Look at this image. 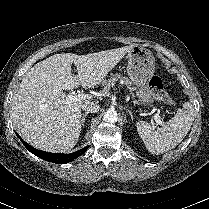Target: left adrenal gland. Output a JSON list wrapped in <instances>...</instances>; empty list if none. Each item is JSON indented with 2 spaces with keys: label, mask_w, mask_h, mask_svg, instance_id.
Wrapping results in <instances>:
<instances>
[{
  "label": "left adrenal gland",
  "mask_w": 209,
  "mask_h": 209,
  "mask_svg": "<svg viewBox=\"0 0 209 209\" xmlns=\"http://www.w3.org/2000/svg\"><path fill=\"white\" fill-rule=\"evenodd\" d=\"M125 109V108H124ZM128 113H129V115H130V117H131V120L133 121V114H132V112L129 110V109H125Z\"/></svg>",
  "instance_id": "1"
}]
</instances>
